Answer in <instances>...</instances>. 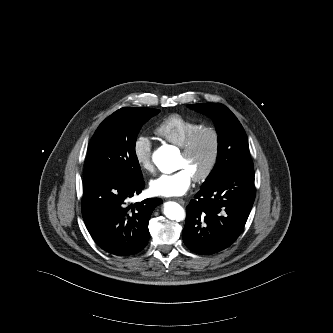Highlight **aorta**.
<instances>
[{
    "instance_id": "1",
    "label": "aorta",
    "mask_w": 333,
    "mask_h": 333,
    "mask_svg": "<svg viewBox=\"0 0 333 333\" xmlns=\"http://www.w3.org/2000/svg\"><path fill=\"white\" fill-rule=\"evenodd\" d=\"M177 158L178 152L172 146H161L153 153V162L163 173H172L174 171ZM164 215L168 219L178 222L185 219L183 207L171 201L164 204Z\"/></svg>"
}]
</instances>
